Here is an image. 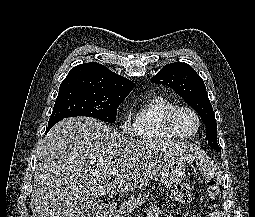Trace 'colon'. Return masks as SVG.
Segmentation results:
<instances>
[{
  "mask_svg": "<svg viewBox=\"0 0 255 217\" xmlns=\"http://www.w3.org/2000/svg\"><path fill=\"white\" fill-rule=\"evenodd\" d=\"M209 195L214 198L218 194V187L215 181L208 182ZM172 201L175 203H186L190 200V189L186 185L175 187L171 192Z\"/></svg>",
  "mask_w": 255,
  "mask_h": 217,
  "instance_id": "1",
  "label": "colon"
}]
</instances>
